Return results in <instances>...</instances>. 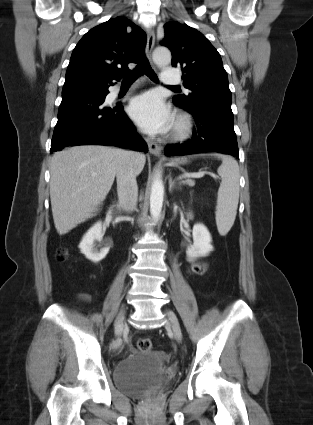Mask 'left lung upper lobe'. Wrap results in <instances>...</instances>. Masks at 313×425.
Returning a JSON list of instances; mask_svg holds the SVG:
<instances>
[{"label":"left lung upper lobe","mask_w":313,"mask_h":425,"mask_svg":"<svg viewBox=\"0 0 313 425\" xmlns=\"http://www.w3.org/2000/svg\"><path fill=\"white\" fill-rule=\"evenodd\" d=\"M160 43L172 52V65L183 70V84L189 95L173 97L176 105L192 108L204 103L231 106V91L222 59L209 40L196 29L178 22L164 25Z\"/></svg>","instance_id":"left-lung-upper-lobe-1"}]
</instances>
